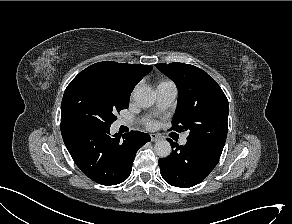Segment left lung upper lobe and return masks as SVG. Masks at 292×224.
<instances>
[{
    "mask_svg": "<svg viewBox=\"0 0 292 224\" xmlns=\"http://www.w3.org/2000/svg\"><path fill=\"white\" fill-rule=\"evenodd\" d=\"M155 66L178 88L171 129L187 131V140L222 151L229 105L219 85L205 71L190 64L174 62Z\"/></svg>",
    "mask_w": 292,
    "mask_h": 224,
    "instance_id": "5c2ea615",
    "label": "left lung upper lobe"
}]
</instances>
